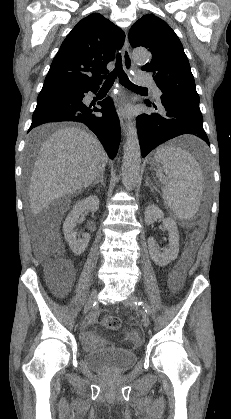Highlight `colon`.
<instances>
[{
	"mask_svg": "<svg viewBox=\"0 0 231 419\" xmlns=\"http://www.w3.org/2000/svg\"><path fill=\"white\" fill-rule=\"evenodd\" d=\"M46 271L48 277L54 282H61L69 280L70 270L69 266L61 259L49 257L46 262ZM104 326L112 331H117L121 328V320L114 315H108L103 320Z\"/></svg>",
	"mask_w": 231,
	"mask_h": 419,
	"instance_id": "1",
	"label": "colon"
}]
</instances>
